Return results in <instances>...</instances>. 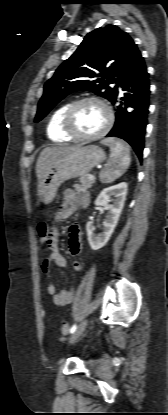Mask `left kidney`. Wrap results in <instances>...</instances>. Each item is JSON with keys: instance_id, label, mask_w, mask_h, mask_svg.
Returning a JSON list of instances; mask_svg holds the SVG:
<instances>
[{"instance_id": "obj_1", "label": "left kidney", "mask_w": 168, "mask_h": 415, "mask_svg": "<svg viewBox=\"0 0 168 415\" xmlns=\"http://www.w3.org/2000/svg\"><path fill=\"white\" fill-rule=\"evenodd\" d=\"M127 188L128 185L125 182L105 188L95 200V205L104 206L108 213L106 219L103 221V229L101 233H94L95 228L92 221H89L86 224L88 242L93 250H99L105 246L114 232L124 207L128 190ZM111 196L114 197L113 204H109Z\"/></svg>"}]
</instances>
